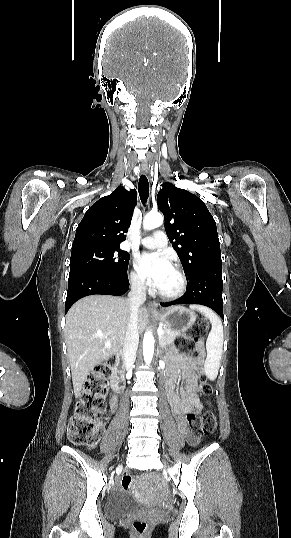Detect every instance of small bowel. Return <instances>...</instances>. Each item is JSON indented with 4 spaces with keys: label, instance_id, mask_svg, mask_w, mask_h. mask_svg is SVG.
Here are the masks:
<instances>
[{
    "label": "small bowel",
    "instance_id": "obj_1",
    "mask_svg": "<svg viewBox=\"0 0 291 538\" xmlns=\"http://www.w3.org/2000/svg\"><path fill=\"white\" fill-rule=\"evenodd\" d=\"M196 372L194 363L184 356H177L166 375L168 396L174 415L177 417L179 426L191 446L199 443V437L187 432L185 429L184 415L189 411L200 409V404L196 394ZM182 379L186 387L180 390L177 387L178 381ZM115 402H111V409L115 410Z\"/></svg>",
    "mask_w": 291,
    "mask_h": 538
}]
</instances>
